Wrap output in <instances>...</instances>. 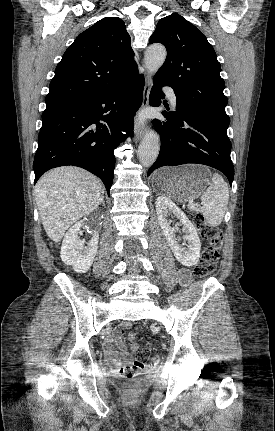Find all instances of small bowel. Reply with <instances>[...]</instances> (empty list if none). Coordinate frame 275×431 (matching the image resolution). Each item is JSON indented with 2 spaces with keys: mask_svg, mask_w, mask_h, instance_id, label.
Segmentation results:
<instances>
[{
  "mask_svg": "<svg viewBox=\"0 0 275 431\" xmlns=\"http://www.w3.org/2000/svg\"><path fill=\"white\" fill-rule=\"evenodd\" d=\"M179 277H180V281L183 284H188L191 282V275L186 270H182L179 274ZM128 327L129 325L127 323H123L119 325L115 329L114 335L111 338H109L105 344V348H104L105 355L107 356L108 360L116 366L120 365L121 361L118 358L117 351L114 349V345L117 346V348L120 351V354L126 357L127 361H130V356L127 351L126 345L122 340V335Z\"/></svg>",
  "mask_w": 275,
  "mask_h": 431,
  "instance_id": "c3829d8e",
  "label": "small bowel"
}]
</instances>
